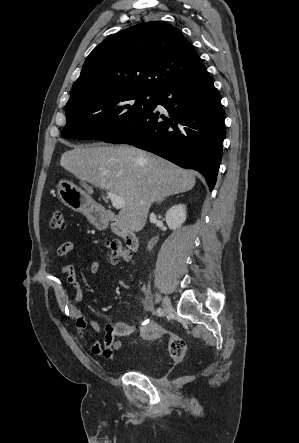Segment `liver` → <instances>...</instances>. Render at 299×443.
Masks as SVG:
<instances>
[{"label": "liver", "instance_id": "liver-1", "mask_svg": "<svg viewBox=\"0 0 299 443\" xmlns=\"http://www.w3.org/2000/svg\"><path fill=\"white\" fill-rule=\"evenodd\" d=\"M60 165L83 183L121 196L120 224L138 232L155 201L195 186L193 172L130 146H76L62 154ZM91 193L92 189H88Z\"/></svg>", "mask_w": 299, "mask_h": 443}]
</instances>
